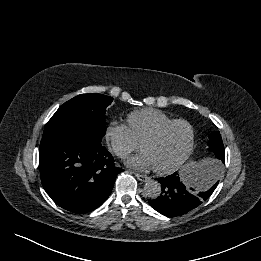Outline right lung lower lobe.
<instances>
[{
  "instance_id": "obj_1",
  "label": "right lung lower lobe",
  "mask_w": 261,
  "mask_h": 261,
  "mask_svg": "<svg viewBox=\"0 0 261 261\" xmlns=\"http://www.w3.org/2000/svg\"><path fill=\"white\" fill-rule=\"evenodd\" d=\"M92 131H73L41 140L39 169L51 199L73 213L99 207L110 195L123 170Z\"/></svg>"
}]
</instances>
